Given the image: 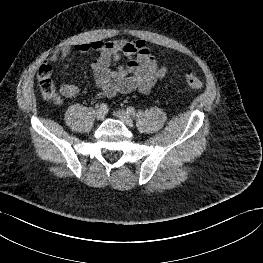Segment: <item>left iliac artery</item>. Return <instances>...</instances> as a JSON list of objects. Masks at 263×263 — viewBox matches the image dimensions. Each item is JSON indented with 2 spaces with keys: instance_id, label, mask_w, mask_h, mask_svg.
<instances>
[{
  "instance_id": "obj_1",
  "label": "left iliac artery",
  "mask_w": 263,
  "mask_h": 263,
  "mask_svg": "<svg viewBox=\"0 0 263 263\" xmlns=\"http://www.w3.org/2000/svg\"><path fill=\"white\" fill-rule=\"evenodd\" d=\"M127 112L130 114H134L135 113V109L133 107H128L127 108Z\"/></svg>"
}]
</instances>
